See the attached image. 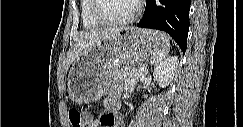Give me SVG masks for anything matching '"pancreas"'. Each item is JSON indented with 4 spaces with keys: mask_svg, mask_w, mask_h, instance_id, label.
Returning a JSON list of instances; mask_svg holds the SVG:
<instances>
[{
    "mask_svg": "<svg viewBox=\"0 0 243 127\" xmlns=\"http://www.w3.org/2000/svg\"><path fill=\"white\" fill-rule=\"evenodd\" d=\"M143 76L140 68H131L118 73L116 78L125 84L127 91H133L137 81Z\"/></svg>",
    "mask_w": 243,
    "mask_h": 127,
    "instance_id": "pancreas-1",
    "label": "pancreas"
}]
</instances>
